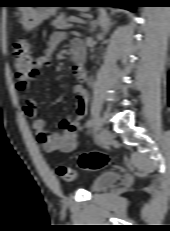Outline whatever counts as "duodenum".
<instances>
[{
    "label": "duodenum",
    "mask_w": 170,
    "mask_h": 231,
    "mask_svg": "<svg viewBox=\"0 0 170 231\" xmlns=\"http://www.w3.org/2000/svg\"><path fill=\"white\" fill-rule=\"evenodd\" d=\"M72 58L76 66H79L81 72H83V63H84V53L81 50H74L72 53Z\"/></svg>",
    "instance_id": "duodenum-1"
}]
</instances>
